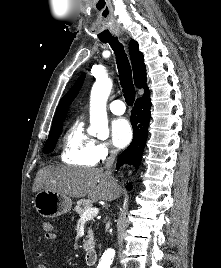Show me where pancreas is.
Here are the masks:
<instances>
[{"mask_svg":"<svg viewBox=\"0 0 221 268\" xmlns=\"http://www.w3.org/2000/svg\"><path fill=\"white\" fill-rule=\"evenodd\" d=\"M91 207H92V201L90 199H81L77 202V205L74 207V211H76L78 215L81 217L83 212ZM83 247L85 250H90L94 247L93 232L91 229L88 230V235L84 240Z\"/></svg>","mask_w":221,"mask_h":268,"instance_id":"pancreas-1","label":"pancreas"}]
</instances>
